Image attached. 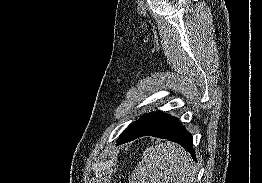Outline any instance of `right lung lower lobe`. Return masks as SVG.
Masks as SVG:
<instances>
[{"label":"right lung lower lobe","mask_w":262,"mask_h":183,"mask_svg":"<svg viewBox=\"0 0 262 183\" xmlns=\"http://www.w3.org/2000/svg\"><path fill=\"white\" fill-rule=\"evenodd\" d=\"M151 135L168 139L185 148L196 160L192 135L176 117L157 111L132 123L120 136L117 145L129 142L141 136Z\"/></svg>","instance_id":"obj_1"}]
</instances>
